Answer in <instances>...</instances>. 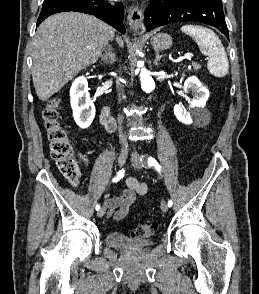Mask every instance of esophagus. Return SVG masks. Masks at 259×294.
I'll list each match as a JSON object with an SVG mask.
<instances>
[{
  "mask_svg": "<svg viewBox=\"0 0 259 294\" xmlns=\"http://www.w3.org/2000/svg\"><path fill=\"white\" fill-rule=\"evenodd\" d=\"M127 11L130 27L136 34L143 35L145 32V26L143 24L142 10L138 6L132 5L128 8Z\"/></svg>",
  "mask_w": 259,
  "mask_h": 294,
  "instance_id": "obj_1",
  "label": "esophagus"
}]
</instances>
